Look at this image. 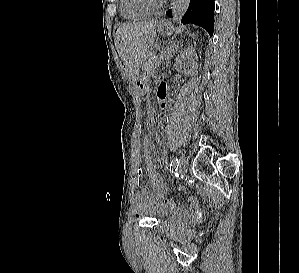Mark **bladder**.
Here are the masks:
<instances>
[{
    "label": "bladder",
    "instance_id": "bladder-1",
    "mask_svg": "<svg viewBox=\"0 0 299 273\" xmlns=\"http://www.w3.org/2000/svg\"><path fill=\"white\" fill-rule=\"evenodd\" d=\"M141 211H144V215L149 216L162 224L174 225L180 221L177 217L164 215L160 211L156 210L153 205H149L148 208Z\"/></svg>",
    "mask_w": 299,
    "mask_h": 273
}]
</instances>
